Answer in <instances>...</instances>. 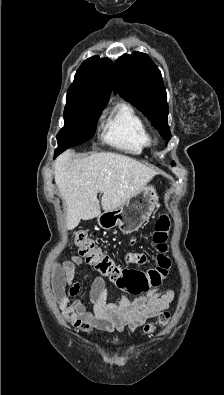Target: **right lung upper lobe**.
<instances>
[{
  "label": "right lung upper lobe",
  "mask_w": 224,
  "mask_h": 395,
  "mask_svg": "<svg viewBox=\"0 0 224 395\" xmlns=\"http://www.w3.org/2000/svg\"><path fill=\"white\" fill-rule=\"evenodd\" d=\"M112 71L110 59L90 57L77 70L68 93L86 96L106 105L111 93Z\"/></svg>",
  "instance_id": "right-lung-upper-lobe-1"
}]
</instances>
